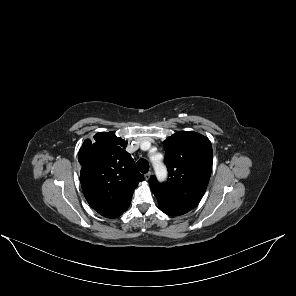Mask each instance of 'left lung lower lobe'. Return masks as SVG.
<instances>
[{"label": "left lung lower lobe", "mask_w": 296, "mask_h": 296, "mask_svg": "<svg viewBox=\"0 0 296 296\" xmlns=\"http://www.w3.org/2000/svg\"><path fill=\"white\" fill-rule=\"evenodd\" d=\"M164 213H166V214H168V215H171V216H179L180 214H175V213H169V212H164ZM182 215V214H181Z\"/></svg>", "instance_id": "obj_1"}]
</instances>
